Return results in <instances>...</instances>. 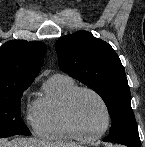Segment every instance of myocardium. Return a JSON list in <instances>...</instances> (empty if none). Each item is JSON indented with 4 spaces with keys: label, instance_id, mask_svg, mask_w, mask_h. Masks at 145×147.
<instances>
[{
    "label": "myocardium",
    "instance_id": "f54148a6",
    "mask_svg": "<svg viewBox=\"0 0 145 147\" xmlns=\"http://www.w3.org/2000/svg\"><path fill=\"white\" fill-rule=\"evenodd\" d=\"M82 92H88L92 94L94 97L98 99V101L101 103L104 111H105V116H106V122L105 126L103 129L97 133H87L83 127L80 125L77 116L75 114V101L78 95ZM65 110H66V115L68 118V121L70 122L71 126L73 129L85 140H95L100 137H102L110 128L111 122H112V114L111 110L109 108L108 103L104 99V97L95 89L90 88V87H77L72 91V93L68 96L65 104Z\"/></svg>",
    "mask_w": 145,
    "mask_h": 147
}]
</instances>
